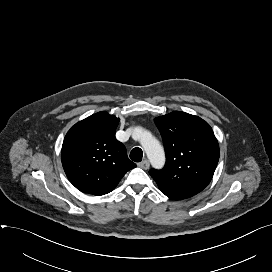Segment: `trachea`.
I'll return each mask as SVG.
<instances>
[{"label":"trachea","instance_id":"obj_1","mask_svg":"<svg viewBox=\"0 0 272 272\" xmlns=\"http://www.w3.org/2000/svg\"><path fill=\"white\" fill-rule=\"evenodd\" d=\"M143 157V151L136 147L134 149H132L131 153H130V158L134 161V162H141Z\"/></svg>","mask_w":272,"mask_h":272}]
</instances>
